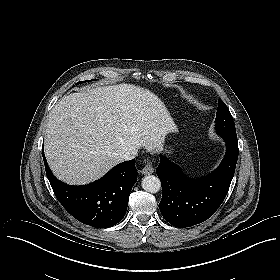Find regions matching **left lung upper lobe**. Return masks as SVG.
Segmentation results:
<instances>
[{
	"label": "left lung upper lobe",
	"mask_w": 280,
	"mask_h": 280,
	"mask_svg": "<svg viewBox=\"0 0 280 280\" xmlns=\"http://www.w3.org/2000/svg\"><path fill=\"white\" fill-rule=\"evenodd\" d=\"M215 130L221 137L237 138L235 124L228 107L219 99Z\"/></svg>",
	"instance_id": "5c2ea615"
}]
</instances>
